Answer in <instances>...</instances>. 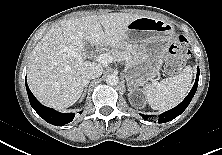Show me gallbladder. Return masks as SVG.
<instances>
[{"label":"gallbladder","instance_id":"1","mask_svg":"<svg viewBox=\"0 0 222 155\" xmlns=\"http://www.w3.org/2000/svg\"><path fill=\"white\" fill-rule=\"evenodd\" d=\"M85 50L91 51L92 47L89 44H85Z\"/></svg>","mask_w":222,"mask_h":155}]
</instances>
